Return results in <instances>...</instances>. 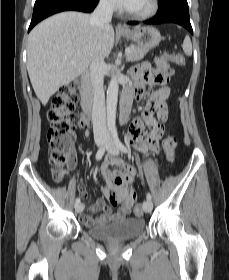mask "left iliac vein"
<instances>
[{
    "mask_svg": "<svg viewBox=\"0 0 229 280\" xmlns=\"http://www.w3.org/2000/svg\"><path fill=\"white\" fill-rule=\"evenodd\" d=\"M106 150L109 154L112 155H118L119 154V149L113 142L112 138L108 137L107 142H106ZM152 202L151 200H146L143 203V210L145 213H149L152 210Z\"/></svg>",
    "mask_w": 229,
    "mask_h": 280,
    "instance_id": "obj_1",
    "label": "left iliac vein"
}]
</instances>
